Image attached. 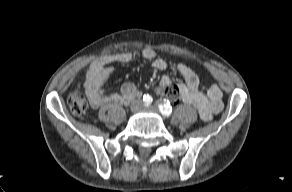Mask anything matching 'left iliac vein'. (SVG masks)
Returning a JSON list of instances; mask_svg holds the SVG:
<instances>
[{"label": "left iliac vein", "instance_id": "left-iliac-vein-1", "mask_svg": "<svg viewBox=\"0 0 292 192\" xmlns=\"http://www.w3.org/2000/svg\"><path fill=\"white\" fill-rule=\"evenodd\" d=\"M146 109L153 110V111L157 110V108L155 106H148V107H146Z\"/></svg>", "mask_w": 292, "mask_h": 192}]
</instances>
